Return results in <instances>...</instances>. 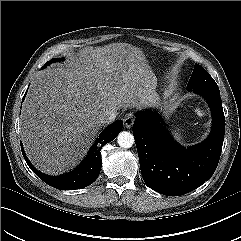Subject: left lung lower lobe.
Returning <instances> with one entry per match:
<instances>
[{
    "instance_id": "0a47b994",
    "label": "left lung lower lobe",
    "mask_w": 241,
    "mask_h": 241,
    "mask_svg": "<svg viewBox=\"0 0 241 241\" xmlns=\"http://www.w3.org/2000/svg\"><path fill=\"white\" fill-rule=\"evenodd\" d=\"M212 111L209 137L193 147L178 145L152 111L137 112L132 127L143 180L167 196L186 194L208 180L218 165L225 133V117L219 89L196 88Z\"/></svg>"
}]
</instances>
